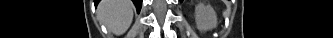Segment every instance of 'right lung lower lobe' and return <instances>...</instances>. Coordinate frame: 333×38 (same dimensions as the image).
I'll return each mask as SVG.
<instances>
[{
  "label": "right lung lower lobe",
  "instance_id": "obj_1",
  "mask_svg": "<svg viewBox=\"0 0 333 38\" xmlns=\"http://www.w3.org/2000/svg\"><path fill=\"white\" fill-rule=\"evenodd\" d=\"M100 0L95 1V5L99 3ZM137 8V11L139 12L141 9L142 1L141 0H132Z\"/></svg>",
  "mask_w": 333,
  "mask_h": 38
}]
</instances>
